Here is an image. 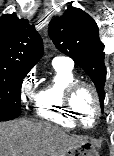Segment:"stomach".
Listing matches in <instances>:
<instances>
[{
	"label": "stomach",
	"mask_w": 114,
	"mask_h": 156,
	"mask_svg": "<svg viewBox=\"0 0 114 156\" xmlns=\"http://www.w3.org/2000/svg\"><path fill=\"white\" fill-rule=\"evenodd\" d=\"M65 156H99L93 141L86 139L78 146L72 148Z\"/></svg>",
	"instance_id": "0dacf381"
}]
</instances>
